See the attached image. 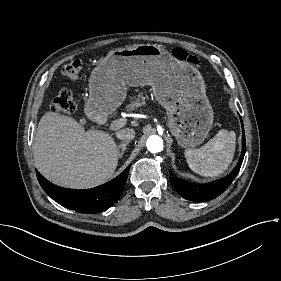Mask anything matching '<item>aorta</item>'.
Returning a JSON list of instances; mask_svg holds the SVG:
<instances>
[{"label": "aorta", "instance_id": "762f6f07", "mask_svg": "<svg viewBox=\"0 0 281 281\" xmlns=\"http://www.w3.org/2000/svg\"><path fill=\"white\" fill-rule=\"evenodd\" d=\"M146 146L151 153L160 152L163 149V140L157 135H151L147 139Z\"/></svg>", "mask_w": 281, "mask_h": 281}]
</instances>
